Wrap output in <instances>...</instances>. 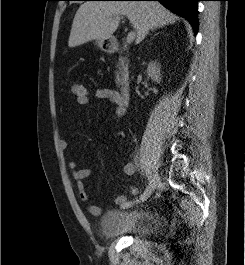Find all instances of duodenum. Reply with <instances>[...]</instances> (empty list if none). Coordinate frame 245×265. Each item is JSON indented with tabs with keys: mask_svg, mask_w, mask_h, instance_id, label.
Masks as SVG:
<instances>
[{
	"mask_svg": "<svg viewBox=\"0 0 245 265\" xmlns=\"http://www.w3.org/2000/svg\"><path fill=\"white\" fill-rule=\"evenodd\" d=\"M107 49L110 53H116L119 51V44L117 42H110L107 45ZM120 94L124 104H127L130 100L131 90L127 82H123L120 86Z\"/></svg>",
	"mask_w": 245,
	"mask_h": 265,
	"instance_id": "1",
	"label": "duodenum"
}]
</instances>
